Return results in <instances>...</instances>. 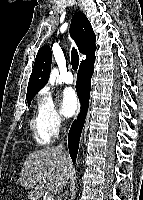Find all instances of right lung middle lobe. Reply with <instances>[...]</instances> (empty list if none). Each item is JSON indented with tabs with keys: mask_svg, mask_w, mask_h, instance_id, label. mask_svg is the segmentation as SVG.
<instances>
[{
	"mask_svg": "<svg viewBox=\"0 0 143 200\" xmlns=\"http://www.w3.org/2000/svg\"><path fill=\"white\" fill-rule=\"evenodd\" d=\"M31 101H32V99L27 100L28 106H30Z\"/></svg>",
	"mask_w": 143,
	"mask_h": 200,
	"instance_id": "dd1d6c3e",
	"label": "right lung middle lobe"
}]
</instances>
